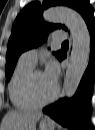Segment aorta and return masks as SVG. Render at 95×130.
Returning <instances> with one entry per match:
<instances>
[{"instance_id":"obj_1","label":"aorta","mask_w":95,"mask_h":130,"mask_svg":"<svg viewBox=\"0 0 95 130\" xmlns=\"http://www.w3.org/2000/svg\"><path fill=\"white\" fill-rule=\"evenodd\" d=\"M47 22L64 23L70 30L73 49L64 79V96L72 98L86 70L90 52V34L82 16L66 7H52L44 11Z\"/></svg>"}]
</instances>
